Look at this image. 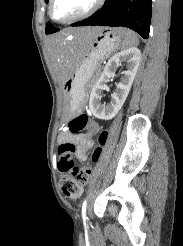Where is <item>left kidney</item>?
<instances>
[{"instance_id":"obj_1","label":"left kidney","mask_w":183,"mask_h":246,"mask_svg":"<svg viewBox=\"0 0 183 246\" xmlns=\"http://www.w3.org/2000/svg\"><path fill=\"white\" fill-rule=\"evenodd\" d=\"M140 60L141 52L135 47L120 51L109 59L90 94L89 108L95 117L103 120H110L116 116L128 96ZM121 62L127 63V70L123 72L121 81L116 84V91L111 94V102L107 105L102 104L101 92L105 88V82L108 78L115 75V71Z\"/></svg>"}]
</instances>
